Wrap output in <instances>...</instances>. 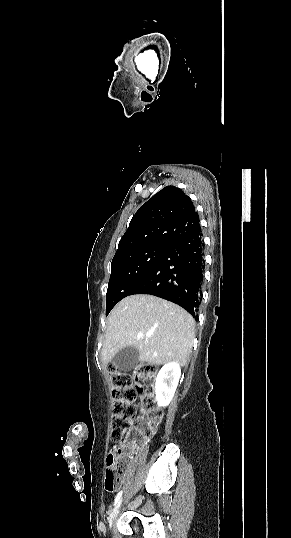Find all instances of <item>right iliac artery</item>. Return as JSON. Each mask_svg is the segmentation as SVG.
I'll return each mask as SVG.
<instances>
[{
    "label": "right iliac artery",
    "mask_w": 291,
    "mask_h": 538,
    "mask_svg": "<svg viewBox=\"0 0 291 538\" xmlns=\"http://www.w3.org/2000/svg\"><path fill=\"white\" fill-rule=\"evenodd\" d=\"M121 495H122V491H120V492L117 494V496H116V498H115V501H114V505L117 504L118 500L121 498Z\"/></svg>",
    "instance_id": "obj_1"
}]
</instances>
